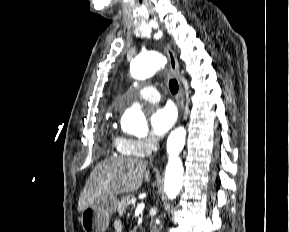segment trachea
Listing matches in <instances>:
<instances>
[{
    "instance_id": "trachea-1",
    "label": "trachea",
    "mask_w": 289,
    "mask_h": 232,
    "mask_svg": "<svg viewBox=\"0 0 289 232\" xmlns=\"http://www.w3.org/2000/svg\"><path fill=\"white\" fill-rule=\"evenodd\" d=\"M169 88H170V91L172 93H177L178 92V82L175 80V79H171L169 81Z\"/></svg>"
}]
</instances>
